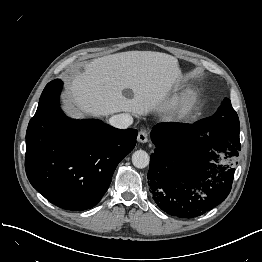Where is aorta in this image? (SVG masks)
<instances>
[{
	"instance_id": "obj_1",
	"label": "aorta",
	"mask_w": 262,
	"mask_h": 262,
	"mask_svg": "<svg viewBox=\"0 0 262 262\" xmlns=\"http://www.w3.org/2000/svg\"><path fill=\"white\" fill-rule=\"evenodd\" d=\"M149 155L144 150H137L132 155V163L136 168H145L149 165Z\"/></svg>"
}]
</instances>
